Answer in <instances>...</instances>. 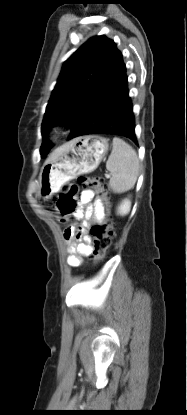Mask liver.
<instances>
[{
	"label": "liver",
	"instance_id": "liver-1",
	"mask_svg": "<svg viewBox=\"0 0 187 415\" xmlns=\"http://www.w3.org/2000/svg\"><path fill=\"white\" fill-rule=\"evenodd\" d=\"M71 143H67L62 145L61 147L55 149L52 154L49 156V158L47 159L46 163L56 159L58 156H60L65 150H67L70 147Z\"/></svg>",
	"mask_w": 187,
	"mask_h": 415
}]
</instances>
